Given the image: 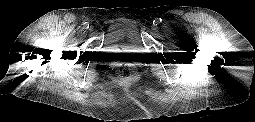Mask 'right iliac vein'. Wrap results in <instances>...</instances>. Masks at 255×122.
I'll list each match as a JSON object with an SVG mask.
<instances>
[{
	"mask_svg": "<svg viewBox=\"0 0 255 122\" xmlns=\"http://www.w3.org/2000/svg\"><path fill=\"white\" fill-rule=\"evenodd\" d=\"M93 29H94V28L91 26V27L89 28V31H93Z\"/></svg>",
	"mask_w": 255,
	"mask_h": 122,
	"instance_id": "obj_1",
	"label": "right iliac vein"
}]
</instances>
